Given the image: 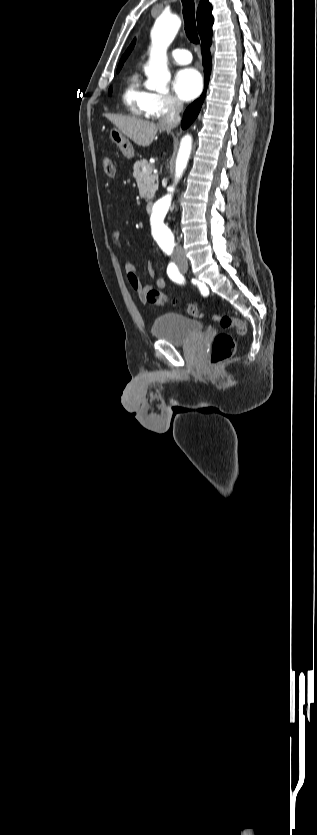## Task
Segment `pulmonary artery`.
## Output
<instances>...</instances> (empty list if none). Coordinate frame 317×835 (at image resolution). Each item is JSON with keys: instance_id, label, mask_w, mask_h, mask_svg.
<instances>
[{"instance_id": "e3ab8cb5", "label": "pulmonary artery", "mask_w": 317, "mask_h": 835, "mask_svg": "<svg viewBox=\"0 0 317 835\" xmlns=\"http://www.w3.org/2000/svg\"><path fill=\"white\" fill-rule=\"evenodd\" d=\"M171 57L179 64H188L192 60L190 52L186 49H174L171 51Z\"/></svg>"}]
</instances>
